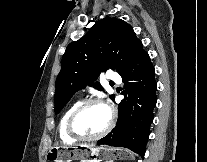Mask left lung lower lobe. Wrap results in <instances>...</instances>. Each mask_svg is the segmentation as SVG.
Returning a JSON list of instances; mask_svg holds the SVG:
<instances>
[{
  "label": "left lung lower lobe",
  "instance_id": "left-lung-lower-lobe-1",
  "mask_svg": "<svg viewBox=\"0 0 207 162\" xmlns=\"http://www.w3.org/2000/svg\"><path fill=\"white\" fill-rule=\"evenodd\" d=\"M154 67L143 52L122 74L125 99L118 106L116 127L98 144L125 147L144 157L156 105Z\"/></svg>",
  "mask_w": 207,
  "mask_h": 162
}]
</instances>
